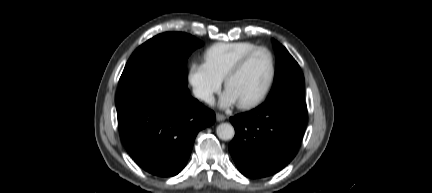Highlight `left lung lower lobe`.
<instances>
[{
    "instance_id": "0a47b994",
    "label": "left lung lower lobe",
    "mask_w": 432,
    "mask_h": 193,
    "mask_svg": "<svg viewBox=\"0 0 432 193\" xmlns=\"http://www.w3.org/2000/svg\"><path fill=\"white\" fill-rule=\"evenodd\" d=\"M306 118L304 101L280 98L231 117L235 137L229 150L239 171L260 178L284 168L298 151Z\"/></svg>"
}]
</instances>
